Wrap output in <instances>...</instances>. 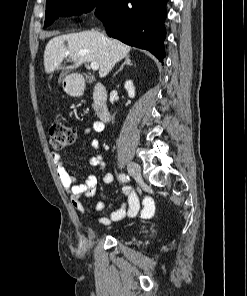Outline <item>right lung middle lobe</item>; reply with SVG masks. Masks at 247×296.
Masks as SVG:
<instances>
[{
  "mask_svg": "<svg viewBox=\"0 0 247 296\" xmlns=\"http://www.w3.org/2000/svg\"><path fill=\"white\" fill-rule=\"evenodd\" d=\"M88 0H47L45 26H49L60 16L79 15L83 12L91 11L96 5V13L106 10L112 0H92L91 3L85 4Z\"/></svg>",
  "mask_w": 247,
  "mask_h": 296,
  "instance_id": "obj_1",
  "label": "right lung middle lobe"
}]
</instances>
